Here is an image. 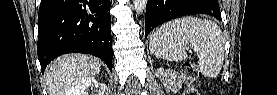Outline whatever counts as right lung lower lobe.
I'll return each instance as SVG.
<instances>
[{
  "instance_id": "98d812e1",
  "label": "right lung lower lobe",
  "mask_w": 277,
  "mask_h": 95,
  "mask_svg": "<svg viewBox=\"0 0 277 95\" xmlns=\"http://www.w3.org/2000/svg\"><path fill=\"white\" fill-rule=\"evenodd\" d=\"M110 0H42L38 15V59L42 73L66 53L92 54L112 71Z\"/></svg>"
}]
</instances>
